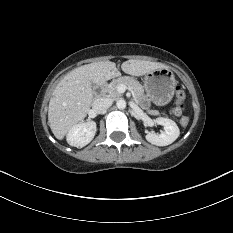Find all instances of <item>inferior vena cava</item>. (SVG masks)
<instances>
[{"label":"inferior vena cava","instance_id":"602c4592","mask_svg":"<svg viewBox=\"0 0 233 233\" xmlns=\"http://www.w3.org/2000/svg\"><path fill=\"white\" fill-rule=\"evenodd\" d=\"M111 105H112L111 99L101 97V98H97L93 102L92 108H93L94 112L100 114V113L104 112L105 110H107Z\"/></svg>","mask_w":233,"mask_h":233}]
</instances>
